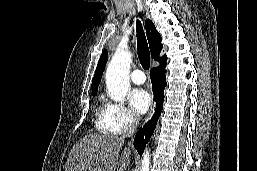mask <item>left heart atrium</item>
Here are the masks:
<instances>
[{
    "mask_svg": "<svg viewBox=\"0 0 257 171\" xmlns=\"http://www.w3.org/2000/svg\"><path fill=\"white\" fill-rule=\"evenodd\" d=\"M129 102L135 113L143 114L150 108L151 97L146 90L136 89L130 93Z\"/></svg>",
    "mask_w": 257,
    "mask_h": 171,
    "instance_id": "left-heart-atrium-1",
    "label": "left heart atrium"
}]
</instances>
